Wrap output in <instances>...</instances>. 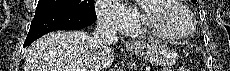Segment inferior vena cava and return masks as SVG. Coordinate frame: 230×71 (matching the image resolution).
<instances>
[{
    "instance_id": "602c4592",
    "label": "inferior vena cava",
    "mask_w": 230,
    "mask_h": 71,
    "mask_svg": "<svg viewBox=\"0 0 230 71\" xmlns=\"http://www.w3.org/2000/svg\"><path fill=\"white\" fill-rule=\"evenodd\" d=\"M93 39L96 46L104 47H109L110 44L118 40L117 27L112 23L108 16L102 14L98 16Z\"/></svg>"
}]
</instances>
